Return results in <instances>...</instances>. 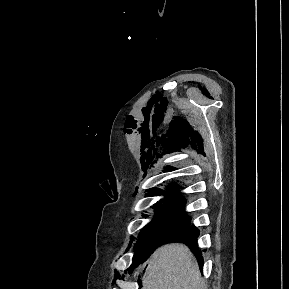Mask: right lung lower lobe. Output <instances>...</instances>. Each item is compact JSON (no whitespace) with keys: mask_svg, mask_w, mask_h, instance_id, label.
<instances>
[{"mask_svg":"<svg viewBox=\"0 0 289 289\" xmlns=\"http://www.w3.org/2000/svg\"><path fill=\"white\" fill-rule=\"evenodd\" d=\"M199 232L194 225H190V221L187 222L184 227L179 231L178 234L174 236H154L147 238L145 240H140L136 243L135 256L139 257V262H143L145 258L150 256V254L162 243L169 240H178L184 242L187 246L190 247L194 255L196 256L198 263L202 265L203 258L201 252L197 248V237Z\"/></svg>","mask_w":289,"mask_h":289,"instance_id":"obj_1","label":"right lung lower lobe"}]
</instances>
